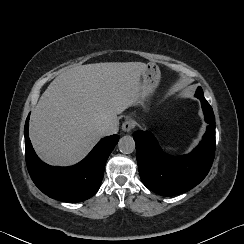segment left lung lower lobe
Listing matches in <instances>:
<instances>
[{
  "instance_id": "obj_1",
  "label": "left lung lower lobe",
  "mask_w": 244,
  "mask_h": 244,
  "mask_svg": "<svg viewBox=\"0 0 244 244\" xmlns=\"http://www.w3.org/2000/svg\"><path fill=\"white\" fill-rule=\"evenodd\" d=\"M201 103L209 126L201 143L187 155L173 157L165 154L148 131L133 134L140 178L148 189L159 195L169 197L187 192L205 178L212 166L215 117H212L211 106Z\"/></svg>"
}]
</instances>
